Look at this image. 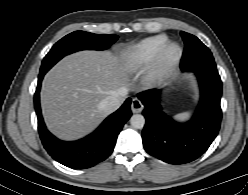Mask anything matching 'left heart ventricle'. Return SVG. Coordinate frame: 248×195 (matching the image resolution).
<instances>
[{
	"label": "left heart ventricle",
	"mask_w": 248,
	"mask_h": 195,
	"mask_svg": "<svg viewBox=\"0 0 248 195\" xmlns=\"http://www.w3.org/2000/svg\"><path fill=\"white\" fill-rule=\"evenodd\" d=\"M176 53H177V49L174 47V48H172V49L170 50L169 55H170L171 57H173V56L176 55Z\"/></svg>",
	"instance_id": "b2bd125f"
}]
</instances>
